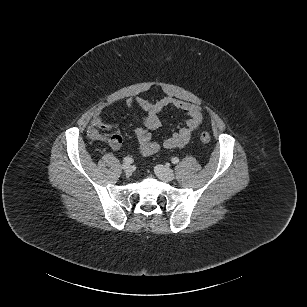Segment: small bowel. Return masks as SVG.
I'll return each instance as SVG.
<instances>
[{
    "label": "small bowel",
    "instance_id": "1",
    "mask_svg": "<svg viewBox=\"0 0 307 307\" xmlns=\"http://www.w3.org/2000/svg\"><path fill=\"white\" fill-rule=\"evenodd\" d=\"M135 104L145 113V116L142 117V126L135 129L138 151L142 156H151L160 149V144L152 139V135L147 129L158 130L161 127L159 114L164 109L179 110L187 115L185 122L164 138L162 145L166 149L182 148L187 145L204 118L202 109L198 105L175 98L165 97L156 103H151L144 98H128L125 102L127 107H133ZM112 128V126L103 123L102 113L98 110L93 116L87 134L92 140L108 141L110 136L108 132Z\"/></svg>",
    "mask_w": 307,
    "mask_h": 307
}]
</instances>
